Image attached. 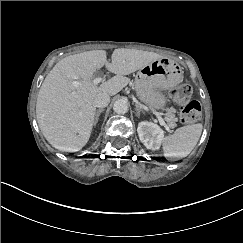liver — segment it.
<instances>
[{
	"label": "liver",
	"mask_w": 243,
	"mask_h": 243,
	"mask_svg": "<svg viewBox=\"0 0 243 243\" xmlns=\"http://www.w3.org/2000/svg\"><path fill=\"white\" fill-rule=\"evenodd\" d=\"M163 56L143 50L119 48L107 61L105 50H92L63 58L46 76L36 103L37 122L56 149L76 152L88 142L95 120V97L116 95L129 82L125 77ZM116 74L99 87L92 82L103 66Z\"/></svg>",
	"instance_id": "liver-1"
}]
</instances>
